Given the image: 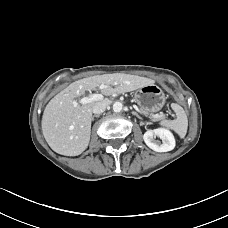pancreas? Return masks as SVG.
Returning a JSON list of instances; mask_svg holds the SVG:
<instances>
[{
    "mask_svg": "<svg viewBox=\"0 0 228 228\" xmlns=\"http://www.w3.org/2000/svg\"><path fill=\"white\" fill-rule=\"evenodd\" d=\"M142 112L144 113V114H147L146 112H144L143 110H142ZM154 116V115H153ZM164 117V115L163 114H160V116L159 117H154V119L155 120H158V119H161V118H163Z\"/></svg>",
    "mask_w": 228,
    "mask_h": 228,
    "instance_id": "obj_1",
    "label": "pancreas"
}]
</instances>
